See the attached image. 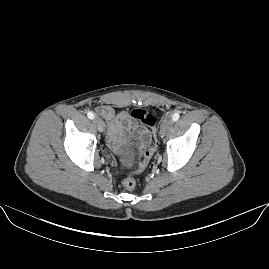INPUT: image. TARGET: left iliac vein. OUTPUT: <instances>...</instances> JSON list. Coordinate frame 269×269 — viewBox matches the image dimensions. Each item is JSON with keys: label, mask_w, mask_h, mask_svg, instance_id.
<instances>
[{"label": "left iliac vein", "mask_w": 269, "mask_h": 269, "mask_svg": "<svg viewBox=\"0 0 269 269\" xmlns=\"http://www.w3.org/2000/svg\"><path fill=\"white\" fill-rule=\"evenodd\" d=\"M173 120L171 118H166L163 120L160 128V135L165 136L167 132L172 128Z\"/></svg>", "instance_id": "4c4485c4"}]
</instances>
